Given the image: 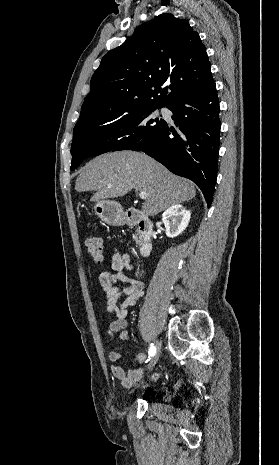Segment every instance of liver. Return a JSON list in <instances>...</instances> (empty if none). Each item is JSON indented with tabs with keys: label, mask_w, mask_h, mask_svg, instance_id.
Here are the masks:
<instances>
[{
	"label": "liver",
	"mask_w": 279,
	"mask_h": 465,
	"mask_svg": "<svg viewBox=\"0 0 279 465\" xmlns=\"http://www.w3.org/2000/svg\"><path fill=\"white\" fill-rule=\"evenodd\" d=\"M132 189L146 192L145 216L196 196L194 184L178 177L148 155L136 151H115L86 164L76 179L77 192L95 191L90 201L124 196Z\"/></svg>",
	"instance_id": "6515ba94"
}]
</instances>
